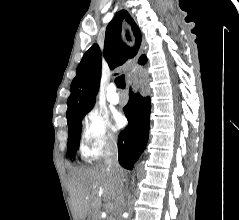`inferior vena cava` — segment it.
Returning <instances> with one entry per match:
<instances>
[{
    "instance_id": "obj_1",
    "label": "inferior vena cava",
    "mask_w": 239,
    "mask_h": 220,
    "mask_svg": "<svg viewBox=\"0 0 239 220\" xmlns=\"http://www.w3.org/2000/svg\"><path fill=\"white\" fill-rule=\"evenodd\" d=\"M104 163L106 166L112 168L116 172H119L121 169L118 163L117 142L114 139L108 140L106 144ZM118 187H119V190L123 192V182H120Z\"/></svg>"
}]
</instances>
